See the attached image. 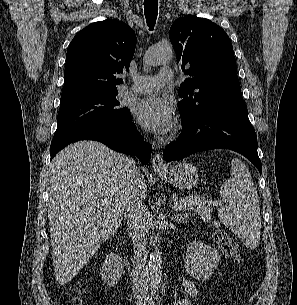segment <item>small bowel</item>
Listing matches in <instances>:
<instances>
[{
	"mask_svg": "<svg viewBox=\"0 0 297 305\" xmlns=\"http://www.w3.org/2000/svg\"><path fill=\"white\" fill-rule=\"evenodd\" d=\"M182 285L190 296L197 297L199 295L198 287L189 278L182 277Z\"/></svg>",
	"mask_w": 297,
	"mask_h": 305,
	"instance_id": "small-bowel-1",
	"label": "small bowel"
}]
</instances>
